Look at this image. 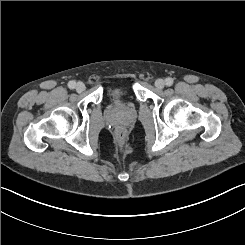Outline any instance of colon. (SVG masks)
I'll return each mask as SVG.
<instances>
[{"label": "colon", "instance_id": "5ec220e1", "mask_svg": "<svg viewBox=\"0 0 245 245\" xmlns=\"http://www.w3.org/2000/svg\"><path fill=\"white\" fill-rule=\"evenodd\" d=\"M125 136H126V133L124 130H118L116 132V139L119 141V142H123L124 139H125Z\"/></svg>", "mask_w": 245, "mask_h": 245}]
</instances>
